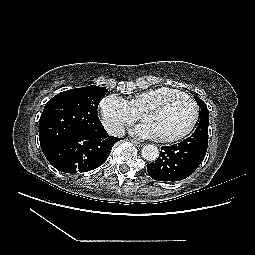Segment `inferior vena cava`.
Returning <instances> with one entry per match:
<instances>
[{"instance_id":"inferior-vena-cava-1","label":"inferior vena cava","mask_w":255,"mask_h":255,"mask_svg":"<svg viewBox=\"0 0 255 255\" xmlns=\"http://www.w3.org/2000/svg\"><path fill=\"white\" fill-rule=\"evenodd\" d=\"M108 133L115 137H122L125 134V130L120 125H112L108 128Z\"/></svg>"}]
</instances>
